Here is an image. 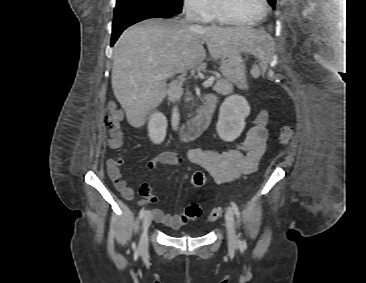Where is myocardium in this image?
Listing matches in <instances>:
<instances>
[{"label":"myocardium","instance_id":"f54148a6","mask_svg":"<svg viewBox=\"0 0 366 283\" xmlns=\"http://www.w3.org/2000/svg\"><path fill=\"white\" fill-rule=\"evenodd\" d=\"M214 8L217 14L226 20L229 23L239 25V26H254L260 23L262 20L266 18L269 11V5L267 0H262L263 3V13L257 19L252 22H244L238 19L230 10L229 6L226 3V0H214Z\"/></svg>","mask_w":366,"mask_h":283}]
</instances>
